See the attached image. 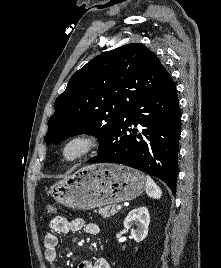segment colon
Listing matches in <instances>:
<instances>
[{
	"label": "colon",
	"instance_id": "obj_1",
	"mask_svg": "<svg viewBox=\"0 0 221 268\" xmlns=\"http://www.w3.org/2000/svg\"><path fill=\"white\" fill-rule=\"evenodd\" d=\"M56 212H57V209L54 205H47L45 208V213L47 215H54L56 214Z\"/></svg>",
	"mask_w": 221,
	"mask_h": 268
}]
</instances>
